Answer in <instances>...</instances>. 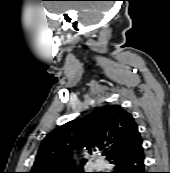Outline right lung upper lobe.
Returning <instances> with one entry per match:
<instances>
[{
	"label": "right lung upper lobe",
	"mask_w": 170,
	"mask_h": 173,
	"mask_svg": "<svg viewBox=\"0 0 170 173\" xmlns=\"http://www.w3.org/2000/svg\"><path fill=\"white\" fill-rule=\"evenodd\" d=\"M141 144L132 115L120 105H104L48 134L30 173H72L78 171L74 160L77 152L107 148V159L113 161Z\"/></svg>",
	"instance_id": "cb5924a9"
}]
</instances>
